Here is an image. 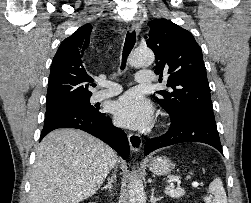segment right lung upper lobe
I'll list each match as a JSON object with an SVG mask.
<instances>
[{
	"label": "right lung upper lobe",
	"instance_id": "1",
	"mask_svg": "<svg viewBox=\"0 0 251 203\" xmlns=\"http://www.w3.org/2000/svg\"><path fill=\"white\" fill-rule=\"evenodd\" d=\"M91 30L90 24L83 25L59 46L51 65L46 109L90 99L93 79L83 66V54Z\"/></svg>",
	"mask_w": 251,
	"mask_h": 203
}]
</instances>
